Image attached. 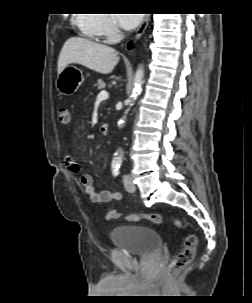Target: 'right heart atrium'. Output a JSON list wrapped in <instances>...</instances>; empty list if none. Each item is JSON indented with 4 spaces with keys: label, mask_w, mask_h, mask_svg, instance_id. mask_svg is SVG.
I'll return each instance as SVG.
<instances>
[{
    "label": "right heart atrium",
    "mask_w": 252,
    "mask_h": 303,
    "mask_svg": "<svg viewBox=\"0 0 252 303\" xmlns=\"http://www.w3.org/2000/svg\"><path fill=\"white\" fill-rule=\"evenodd\" d=\"M95 26L107 43H114L119 35L116 21L110 14H97Z\"/></svg>",
    "instance_id": "right-heart-atrium-1"
}]
</instances>
